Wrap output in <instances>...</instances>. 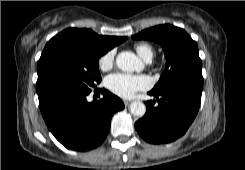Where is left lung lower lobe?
I'll use <instances>...</instances> for the list:
<instances>
[{"instance_id": "left-lung-lower-lobe-1", "label": "left lung lower lobe", "mask_w": 245, "mask_h": 170, "mask_svg": "<svg viewBox=\"0 0 245 170\" xmlns=\"http://www.w3.org/2000/svg\"><path fill=\"white\" fill-rule=\"evenodd\" d=\"M148 94L158 105L154 106L155 100L146 102V114L135 123L139 135L152 144L169 143L184 135L199 110L202 89L175 85Z\"/></svg>"}]
</instances>
